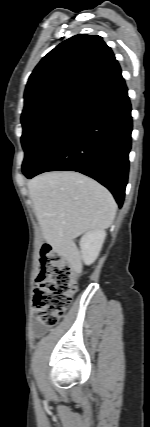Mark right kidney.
Returning a JSON list of instances; mask_svg holds the SVG:
<instances>
[{"mask_svg":"<svg viewBox=\"0 0 150 427\" xmlns=\"http://www.w3.org/2000/svg\"><path fill=\"white\" fill-rule=\"evenodd\" d=\"M106 237L104 230H91L80 239V249L83 262L92 264L98 257Z\"/></svg>","mask_w":150,"mask_h":427,"instance_id":"right-kidney-1","label":"right kidney"}]
</instances>
